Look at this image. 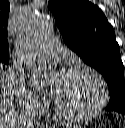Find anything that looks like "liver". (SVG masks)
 I'll use <instances>...</instances> for the list:
<instances>
[{
  "label": "liver",
  "instance_id": "6515ba94",
  "mask_svg": "<svg viewBox=\"0 0 125 128\" xmlns=\"http://www.w3.org/2000/svg\"><path fill=\"white\" fill-rule=\"evenodd\" d=\"M24 119L15 110L12 101V85L0 66V128H19Z\"/></svg>",
  "mask_w": 125,
  "mask_h": 128
}]
</instances>
